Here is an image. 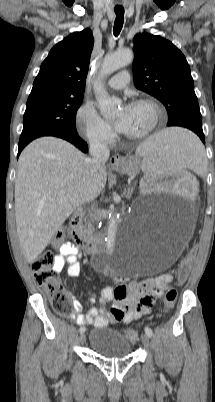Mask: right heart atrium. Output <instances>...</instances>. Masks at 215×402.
<instances>
[{"label":"right heart atrium","instance_id":"obj_1","mask_svg":"<svg viewBox=\"0 0 215 402\" xmlns=\"http://www.w3.org/2000/svg\"><path fill=\"white\" fill-rule=\"evenodd\" d=\"M79 131L88 141L97 145H107L114 138L110 125L104 121L96 110L89 104L81 106L77 112Z\"/></svg>","mask_w":215,"mask_h":402}]
</instances>
